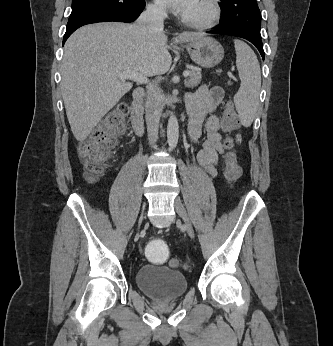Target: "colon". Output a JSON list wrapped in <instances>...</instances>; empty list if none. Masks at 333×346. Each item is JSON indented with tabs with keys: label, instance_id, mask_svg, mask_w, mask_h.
<instances>
[{
	"label": "colon",
	"instance_id": "colon-1",
	"mask_svg": "<svg viewBox=\"0 0 333 346\" xmlns=\"http://www.w3.org/2000/svg\"><path fill=\"white\" fill-rule=\"evenodd\" d=\"M128 113L127 103L118 104L106 115L92 136L79 145L78 154L89 180H96L103 174L110 153L116 146L117 135L124 129V119ZM238 126V115L232 106H228L223 115V129L231 132ZM225 146L229 151L225 156L224 175L228 181H236L241 175V168L237 154L232 151L234 141L227 138ZM150 239V243L143 246L146 251L145 259L149 260L150 264H156L158 268H164L167 261L171 259L169 246L165 240H159L158 235H152ZM170 265L177 267L178 262L172 260Z\"/></svg>",
	"mask_w": 333,
	"mask_h": 346
}]
</instances>
